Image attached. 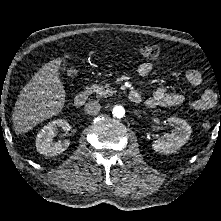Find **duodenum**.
<instances>
[{"label": "duodenum", "instance_id": "obj_1", "mask_svg": "<svg viewBox=\"0 0 221 221\" xmlns=\"http://www.w3.org/2000/svg\"><path fill=\"white\" fill-rule=\"evenodd\" d=\"M86 94L80 93L74 99L75 106H82L86 101ZM128 99L133 103H138L141 100V93L137 90H131L128 93Z\"/></svg>", "mask_w": 221, "mask_h": 221}]
</instances>
